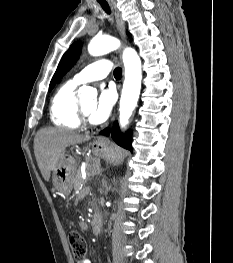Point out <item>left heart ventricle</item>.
Listing matches in <instances>:
<instances>
[{
	"instance_id": "1",
	"label": "left heart ventricle",
	"mask_w": 233,
	"mask_h": 263,
	"mask_svg": "<svg viewBox=\"0 0 233 263\" xmlns=\"http://www.w3.org/2000/svg\"><path fill=\"white\" fill-rule=\"evenodd\" d=\"M94 106H95V102H89V103L84 104L82 107L85 113L89 116Z\"/></svg>"
}]
</instances>
